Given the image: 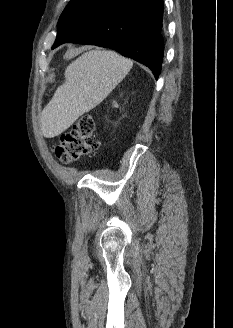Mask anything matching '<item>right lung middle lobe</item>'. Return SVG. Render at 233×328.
I'll return each instance as SVG.
<instances>
[{"instance_id": "dd1d6c3e", "label": "right lung middle lobe", "mask_w": 233, "mask_h": 328, "mask_svg": "<svg viewBox=\"0 0 233 328\" xmlns=\"http://www.w3.org/2000/svg\"><path fill=\"white\" fill-rule=\"evenodd\" d=\"M92 1L93 0H71L64 12L61 14L59 21L65 18L66 16L72 14L73 12L85 7Z\"/></svg>"}]
</instances>
